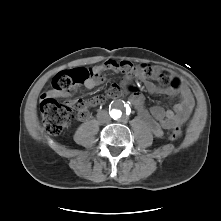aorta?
I'll return each mask as SVG.
<instances>
[{
  "label": "aorta",
  "instance_id": "aorta-1",
  "mask_svg": "<svg viewBox=\"0 0 221 221\" xmlns=\"http://www.w3.org/2000/svg\"><path fill=\"white\" fill-rule=\"evenodd\" d=\"M122 109L121 108H118V109H113L112 111H111V114H112V117L114 118V119H119L120 117H121V115H122Z\"/></svg>",
  "mask_w": 221,
  "mask_h": 221
}]
</instances>
